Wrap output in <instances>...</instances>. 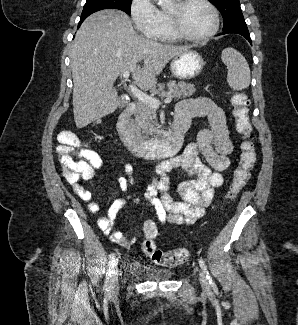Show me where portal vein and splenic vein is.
Segmentation results:
<instances>
[{
	"mask_svg": "<svg viewBox=\"0 0 298 325\" xmlns=\"http://www.w3.org/2000/svg\"><path fill=\"white\" fill-rule=\"evenodd\" d=\"M122 76L123 78H125V80H127V78H129L130 76V72H123ZM129 88L132 94H134V96H136V98H138L140 102H144V104H148V106H151V108H154V110H157V108H159L162 102H172L173 100V96H171V92H168L164 100H158L156 96H149V94H146V92H143V90H139V88H137L135 84H129Z\"/></svg>",
	"mask_w": 298,
	"mask_h": 325,
	"instance_id": "18ae733b",
	"label": "portal vein and splenic vein"
}]
</instances>
